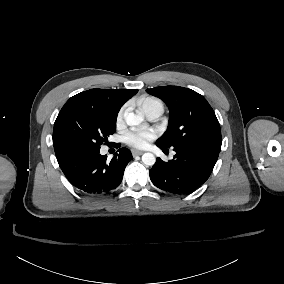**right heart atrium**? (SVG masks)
<instances>
[{
	"instance_id": "right-heart-atrium-1",
	"label": "right heart atrium",
	"mask_w": 284,
	"mask_h": 284,
	"mask_svg": "<svg viewBox=\"0 0 284 284\" xmlns=\"http://www.w3.org/2000/svg\"><path fill=\"white\" fill-rule=\"evenodd\" d=\"M125 110H126V106H123V107L120 109V111H119V113H118V116H117V120H118V121H122V120H123L124 115H125Z\"/></svg>"
}]
</instances>
